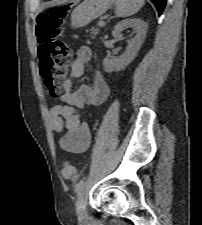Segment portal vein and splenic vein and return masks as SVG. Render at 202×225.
<instances>
[{
  "mask_svg": "<svg viewBox=\"0 0 202 225\" xmlns=\"http://www.w3.org/2000/svg\"><path fill=\"white\" fill-rule=\"evenodd\" d=\"M98 25H99L100 27H103V26H105V22H104L103 20H101V21H99Z\"/></svg>",
  "mask_w": 202,
  "mask_h": 225,
  "instance_id": "portal-vein-and-splenic-vein-1",
  "label": "portal vein and splenic vein"
}]
</instances>
